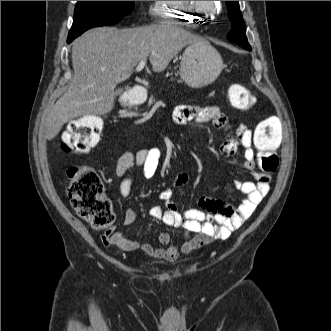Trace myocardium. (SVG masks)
<instances>
[{"label":"myocardium","instance_id":"myocardium-1","mask_svg":"<svg viewBox=\"0 0 331 331\" xmlns=\"http://www.w3.org/2000/svg\"><path fill=\"white\" fill-rule=\"evenodd\" d=\"M191 6L197 10L204 11H212L215 8V3L214 1H190Z\"/></svg>","mask_w":331,"mask_h":331}]
</instances>
